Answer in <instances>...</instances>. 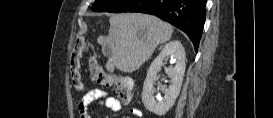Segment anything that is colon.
I'll list each match as a JSON object with an SVG mask.
<instances>
[{
    "label": "colon",
    "instance_id": "obj_1",
    "mask_svg": "<svg viewBox=\"0 0 273 118\" xmlns=\"http://www.w3.org/2000/svg\"><path fill=\"white\" fill-rule=\"evenodd\" d=\"M87 47V41H79L74 46L69 59V77L71 79L72 85L77 90H81L82 88L79 60L82 54L86 51ZM89 75L93 81L107 87H111L122 103L128 104L132 100V81L129 78L104 73L98 68L93 60H91L89 64Z\"/></svg>",
    "mask_w": 273,
    "mask_h": 118
}]
</instances>
